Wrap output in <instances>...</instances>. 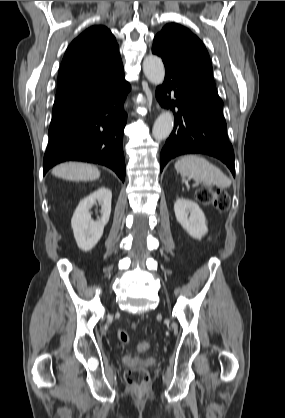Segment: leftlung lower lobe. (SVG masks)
I'll return each mask as SVG.
<instances>
[{
	"label": "left lung lower lobe",
	"mask_w": 285,
	"mask_h": 418,
	"mask_svg": "<svg viewBox=\"0 0 285 418\" xmlns=\"http://www.w3.org/2000/svg\"><path fill=\"white\" fill-rule=\"evenodd\" d=\"M152 53L165 65V81L157 87L156 98L162 107L178 111L161 151V171L176 156L200 153L220 159L235 176L234 151L215 85L171 57L160 44L153 43Z\"/></svg>",
	"instance_id": "1"
}]
</instances>
